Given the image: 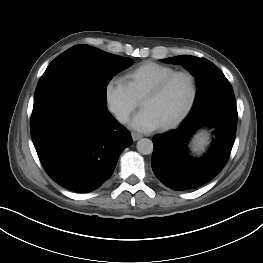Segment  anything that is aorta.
Masks as SVG:
<instances>
[{"label": "aorta", "instance_id": "obj_1", "mask_svg": "<svg viewBox=\"0 0 263 263\" xmlns=\"http://www.w3.org/2000/svg\"><path fill=\"white\" fill-rule=\"evenodd\" d=\"M137 150L143 155H149L153 152V142L150 139L142 138L137 142Z\"/></svg>", "mask_w": 263, "mask_h": 263}]
</instances>
